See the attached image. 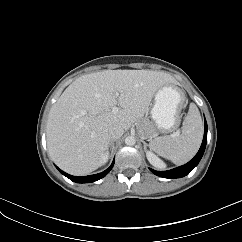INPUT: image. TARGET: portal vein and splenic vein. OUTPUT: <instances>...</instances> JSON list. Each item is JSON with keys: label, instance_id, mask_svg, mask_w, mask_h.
Wrapping results in <instances>:
<instances>
[{"label": "portal vein and splenic vein", "instance_id": "portal-vein-and-splenic-vein-1", "mask_svg": "<svg viewBox=\"0 0 242 242\" xmlns=\"http://www.w3.org/2000/svg\"><path fill=\"white\" fill-rule=\"evenodd\" d=\"M115 95H116V96H119V93L116 92ZM118 111H119V108H118L117 106H114V107L112 108V113L115 114V113H117Z\"/></svg>", "mask_w": 242, "mask_h": 242}]
</instances>
